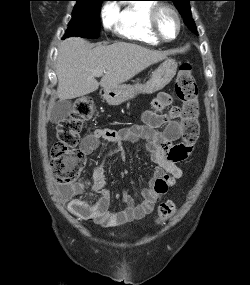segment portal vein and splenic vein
<instances>
[{"mask_svg": "<svg viewBox=\"0 0 250 285\" xmlns=\"http://www.w3.org/2000/svg\"><path fill=\"white\" fill-rule=\"evenodd\" d=\"M104 73H105V71H99V72L96 73V75H97V76H101V75H103Z\"/></svg>", "mask_w": 250, "mask_h": 285, "instance_id": "1", "label": "portal vein and splenic vein"}]
</instances>
